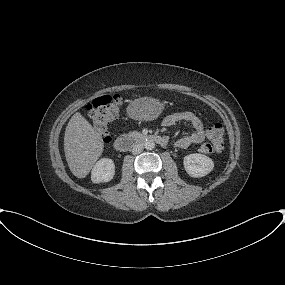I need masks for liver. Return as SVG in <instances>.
<instances>
[{
	"label": "liver",
	"instance_id": "liver-1",
	"mask_svg": "<svg viewBox=\"0 0 285 285\" xmlns=\"http://www.w3.org/2000/svg\"><path fill=\"white\" fill-rule=\"evenodd\" d=\"M101 135L76 112L69 120L64 136V152L69 169L77 178H85L103 152Z\"/></svg>",
	"mask_w": 285,
	"mask_h": 285
}]
</instances>
